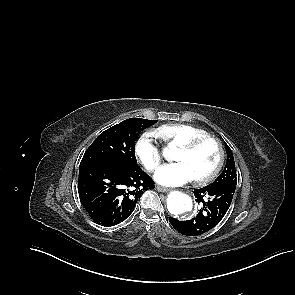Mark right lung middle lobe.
Masks as SVG:
<instances>
[{
	"instance_id": "1",
	"label": "right lung middle lobe",
	"mask_w": 295,
	"mask_h": 295,
	"mask_svg": "<svg viewBox=\"0 0 295 295\" xmlns=\"http://www.w3.org/2000/svg\"><path fill=\"white\" fill-rule=\"evenodd\" d=\"M157 120L126 119L102 132L85 152L81 167L113 163L116 161L137 164L135 140L139 133Z\"/></svg>"
}]
</instances>
